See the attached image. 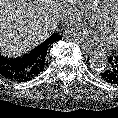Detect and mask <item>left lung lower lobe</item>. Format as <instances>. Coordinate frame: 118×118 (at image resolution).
<instances>
[{
  "label": "left lung lower lobe",
  "instance_id": "1",
  "mask_svg": "<svg viewBox=\"0 0 118 118\" xmlns=\"http://www.w3.org/2000/svg\"><path fill=\"white\" fill-rule=\"evenodd\" d=\"M102 79L111 84H118V55L108 58V65L101 73Z\"/></svg>",
  "mask_w": 118,
  "mask_h": 118
}]
</instances>
